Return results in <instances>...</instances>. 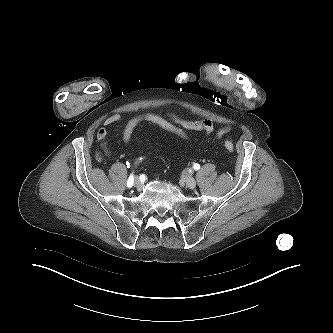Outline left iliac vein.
Instances as JSON below:
<instances>
[{
  "label": "left iliac vein",
  "instance_id": "1",
  "mask_svg": "<svg viewBox=\"0 0 333 333\" xmlns=\"http://www.w3.org/2000/svg\"><path fill=\"white\" fill-rule=\"evenodd\" d=\"M181 182L183 184H185L190 189H194L196 187L195 179L192 176L188 175V174H185V175L182 176Z\"/></svg>",
  "mask_w": 333,
  "mask_h": 333
}]
</instances>
